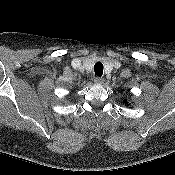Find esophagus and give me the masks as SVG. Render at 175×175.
<instances>
[{
  "instance_id": "1",
  "label": "esophagus",
  "mask_w": 175,
  "mask_h": 175,
  "mask_svg": "<svg viewBox=\"0 0 175 175\" xmlns=\"http://www.w3.org/2000/svg\"><path fill=\"white\" fill-rule=\"evenodd\" d=\"M94 82L96 84H102L104 82V78L97 76V77L94 78Z\"/></svg>"
}]
</instances>
